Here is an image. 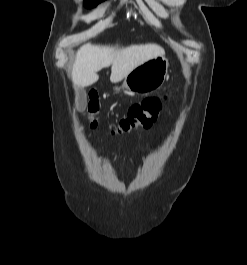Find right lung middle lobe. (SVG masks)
Instances as JSON below:
<instances>
[{"label": "right lung middle lobe", "mask_w": 247, "mask_h": 265, "mask_svg": "<svg viewBox=\"0 0 247 265\" xmlns=\"http://www.w3.org/2000/svg\"><path fill=\"white\" fill-rule=\"evenodd\" d=\"M103 0H85L84 5L88 8L95 7L98 3L102 2Z\"/></svg>", "instance_id": "right-lung-middle-lobe-1"}]
</instances>
